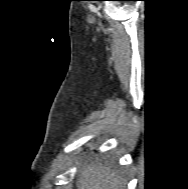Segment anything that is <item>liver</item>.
I'll return each instance as SVG.
<instances>
[{"mask_svg":"<svg viewBox=\"0 0 188 189\" xmlns=\"http://www.w3.org/2000/svg\"><path fill=\"white\" fill-rule=\"evenodd\" d=\"M78 189H124L125 181L109 166L81 164Z\"/></svg>","mask_w":188,"mask_h":189,"instance_id":"1","label":"liver"}]
</instances>
